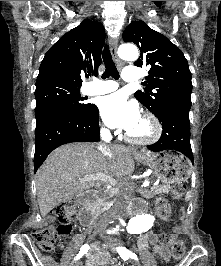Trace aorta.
<instances>
[{"mask_svg": "<svg viewBox=\"0 0 221 266\" xmlns=\"http://www.w3.org/2000/svg\"><path fill=\"white\" fill-rule=\"evenodd\" d=\"M118 55L123 60L136 61L139 57V52L136 46L132 44H123L118 49ZM152 221L153 218L150 215H136L130 219L126 231L131 234H139L148 230L151 227Z\"/></svg>", "mask_w": 221, "mask_h": 266, "instance_id": "762f6f07", "label": "aorta"}]
</instances>
